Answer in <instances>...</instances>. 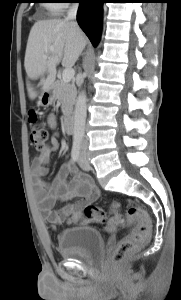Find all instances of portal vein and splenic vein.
<instances>
[{
    "instance_id": "portal-vein-and-splenic-vein-1",
    "label": "portal vein and splenic vein",
    "mask_w": 181,
    "mask_h": 300,
    "mask_svg": "<svg viewBox=\"0 0 181 300\" xmlns=\"http://www.w3.org/2000/svg\"><path fill=\"white\" fill-rule=\"evenodd\" d=\"M50 52L54 53V49H51ZM44 57L47 58L48 56L45 55ZM74 75H75L74 69L66 68L62 73V80L66 83H69L73 79Z\"/></svg>"
}]
</instances>
